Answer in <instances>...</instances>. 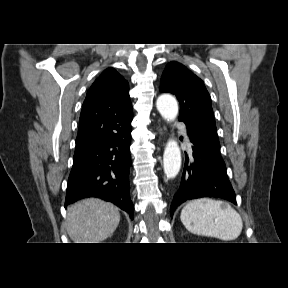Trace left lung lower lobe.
Returning a JSON list of instances; mask_svg holds the SVG:
<instances>
[{
  "label": "left lung lower lobe",
  "instance_id": "0a47b994",
  "mask_svg": "<svg viewBox=\"0 0 288 288\" xmlns=\"http://www.w3.org/2000/svg\"><path fill=\"white\" fill-rule=\"evenodd\" d=\"M186 126L194 161H186L187 166L171 203L170 214L173 215L177 206L186 200L201 197H219L236 204V195L220 155V144L199 129L188 124Z\"/></svg>",
  "mask_w": 288,
  "mask_h": 288
}]
</instances>
